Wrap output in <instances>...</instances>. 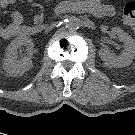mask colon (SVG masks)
I'll list each match as a JSON object with an SVG mask.
<instances>
[{
	"instance_id": "colon-1",
	"label": "colon",
	"mask_w": 135,
	"mask_h": 135,
	"mask_svg": "<svg viewBox=\"0 0 135 135\" xmlns=\"http://www.w3.org/2000/svg\"><path fill=\"white\" fill-rule=\"evenodd\" d=\"M124 23L135 33V3L130 2L123 9Z\"/></svg>"
}]
</instances>
